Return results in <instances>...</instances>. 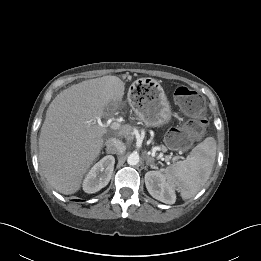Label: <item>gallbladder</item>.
I'll use <instances>...</instances> for the list:
<instances>
[{
	"instance_id": "obj_1",
	"label": "gallbladder",
	"mask_w": 261,
	"mask_h": 261,
	"mask_svg": "<svg viewBox=\"0 0 261 261\" xmlns=\"http://www.w3.org/2000/svg\"><path fill=\"white\" fill-rule=\"evenodd\" d=\"M110 107H113V105L112 104L108 105V108H110Z\"/></svg>"
}]
</instances>
